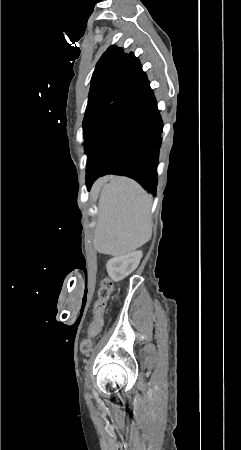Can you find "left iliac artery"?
Segmentation results:
<instances>
[{"label": "left iliac artery", "mask_w": 241, "mask_h": 450, "mask_svg": "<svg viewBox=\"0 0 241 450\" xmlns=\"http://www.w3.org/2000/svg\"><path fill=\"white\" fill-rule=\"evenodd\" d=\"M85 383H86V387L89 389L90 388V386H89V384H88V380H87V378L85 379Z\"/></svg>", "instance_id": "1"}]
</instances>
